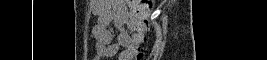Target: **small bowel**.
<instances>
[{"label":"small bowel","mask_w":267,"mask_h":60,"mask_svg":"<svg viewBox=\"0 0 267 60\" xmlns=\"http://www.w3.org/2000/svg\"><path fill=\"white\" fill-rule=\"evenodd\" d=\"M92 11L97 22L92 29L96 39L95 60L118 55L119 60H131L143 42L144 33L134 21L124 0H94ZM114 38L116 42H114Z\"/></svg>","instance_id":"1"}]
</instances>
